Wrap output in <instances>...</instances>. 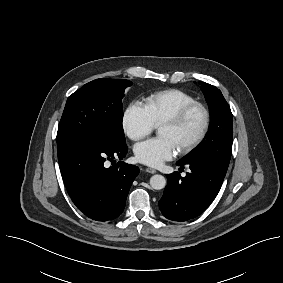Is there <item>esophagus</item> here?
<instances>
[{
  "mask_svg": "<svg viewBox=\"0 0 283 283\" xmlns=\"http://www.w3.org/2000/svg\"><path fill=\"white\" fill-rule=\"evenodd\" d=\"M146 172L150 174H155L157 171L153 168H146Z\"/></svg>",
  "mask_w": 283,
  "mask_h": 283,
  "instance_id": "1",
  "label": "esophagus"
}]
</instances>
